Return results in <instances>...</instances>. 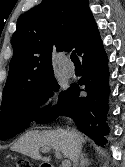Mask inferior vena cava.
<instances>
[{"label":"inferior vena cava","instance_id":"602c4592","mask_svg":"<svg viewBox=\"0 0 125 167\" xmlns=\"http://www.w3.org/2000/svg\"><path fill=\"white\" fill-rule=\"evenodd\" d=\"M71 135L74 138V144H75V161H74V167H77L78 164V158L80 156V151H81V143L79 140L80 134L75 130H71Z\"/></svg>","mask_w":125,"mask_h":167}]
</instances>
